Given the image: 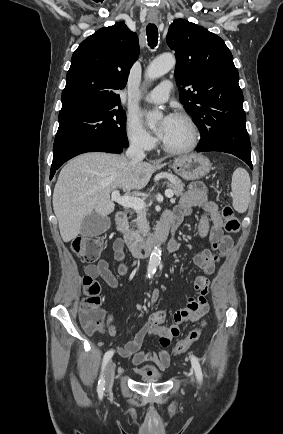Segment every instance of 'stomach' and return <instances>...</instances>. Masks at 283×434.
Wrapping results in <instances>:
<instances>
[{
  "mask_svg": "<svg viewBox=\"0 0 283 434\" xmlns=\"http://www.w3.org/2000/svg\"><path fill=\"white\" fill-rule=\"evenodd\" d=\"M173 169L185 180H197L210 172L211 163L203 155L190 154L175 159Z\"/></svg>",
  "mask_w": 283,
  "mask_h": 434,
  "instance_id": "1",
  "label": "stomach"
}]
</instances>
